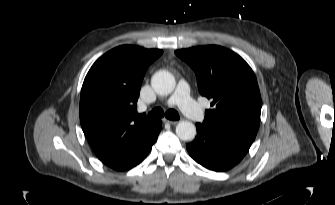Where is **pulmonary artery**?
Listing matches in <instances>:
<instances>
[{"label": "pulmonary artery", "mask_w": 335, "mask_h": 205, "mask_svg": "<svg viewBox=\"0 0 335 205\" xmlns=\"http://www.w3.org/2000/svg\"><path fill=\"white\" fill-rule=\"evenodd\" d=\"M168 105H178L183 113L195 122H201L204 118L203 111L190 96L188 84L179 81L174 94L167 101Z\"/></svg>", "instance_id": "1"}]
</instances>
